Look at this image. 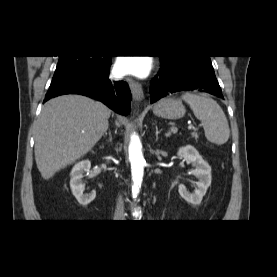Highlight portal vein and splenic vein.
<instances>
[{
	"mask_svg": "<svg viewBox=\"0 0 277 277\" xmlns=\"http://www.w3.org/2000/svg\"><path fill=\"white\" fill-rule=\"evenodd\" d=\"M188 128H189V129H192V128H194V127L191 126V125H189ZM171 132H172V133H176V132H177V129H176V128H171Z\"/></svg>",
	"mask_w": 277,
	"mask_h": 277,
	"instance_id": "1",
	"label": "portal vein and splenic vein"
}]
</instances>
